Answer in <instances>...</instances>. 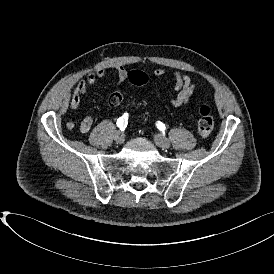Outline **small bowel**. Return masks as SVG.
<instances>
[{
	"label": "small bowel",
	"instance_id": "small-bowel-1",
	"mask_svg": "<svg viewBox=\"0 0 274 274\" xmlns=\"http://www.w3.org/2000/svg\"><path fill=\"white\" fill-rule=\"evenodd\" d=\"M114 70L117 74V83L123 82L127 78V71L122 65H115ZM106 75L104 68L90 72L85 78L80 79L72 88L70 96V107L77 110L80 106L81 99L86 93L89 86L95 85L98 80L103 79ZM155 78L165 77L170 75L173 78V89L176 92L174 96L169 97V102L175 107L187 105L192 99L196 84L192 78L184 71H169L166 68L158 67L152 72ZM93 125L91 117H85L80 123V132L86 134L90 131Z\"/></svg>",
	"mask_w": 274,
	"mask_h": 274
}]
</instances>
